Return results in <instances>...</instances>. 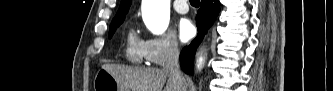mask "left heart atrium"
<instances>
[{"label": "left heart atrium", "mask_w": 333, "mask_h": 91, "mask_svg": "<svg viewBox=\"0 0 333 91\" xmlns=\"http://www.w3.org/2000/svg\"><path fill=\"white\" fill-rule=\"evenodd\" d=\"M178 35L182 42H187L195 35V27L188 19H182L178 24Z\"/></svg>", "instance_id": "1"}]
</instances>
